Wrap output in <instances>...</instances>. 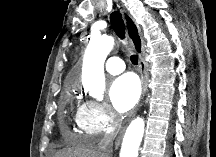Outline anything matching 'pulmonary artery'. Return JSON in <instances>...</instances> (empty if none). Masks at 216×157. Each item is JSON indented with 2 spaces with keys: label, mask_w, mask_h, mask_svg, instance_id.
Returning a JSON list of instances; mask_svg holds the SVG:
<instances>
[{
  "label": "pulmonary artery",
  "mask_w": 216,
  "mask_h": 157,
  "mask_svg": "<svg viewBox=\"0 0 216 157\" xmlns=\"http://www.w3.org/2000/svg\"><path fill=\"white\" fill-rule=\"evenodd\" d=\"M105 70L110 74H119L124 71L125 65L120 57L113 56L105 62Z\"/></svg>",
  "instance_id": "obj_1"
}]
</instances>
